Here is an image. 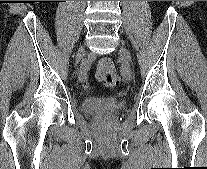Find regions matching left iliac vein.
Listing matches in <instances>:
<instances>
[{
	"instance_id": "obj_1",
	"label": "left iliac vein",
	"mask_w": 207,
	"mask_h": 169,
	"mask_svg": "<svg viewBox=\"0 0 207 169\" xmlns=\"http://www.w3.org/2000/svg\"><path fill=\"white\" fill-rule=\"evenodd\" d=\"M120 53L122 55V57L127 61V62H130L131 61V56L128 52L127 49L125 48H121L120 49ZM124 75L125 77L128 79V80H131L132 79V72L129 68H126L125 71H124Z\"/></svg>"
}]
</instances>
